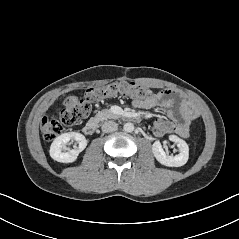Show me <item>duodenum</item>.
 I'll list each match as a JSON object with an SVG mask.
<instances>
[{"label":"duodenum","mask_w":239,"mask_h":239,"mask_svg":"<svg viewBox=\"0 0 239 239\" xmlns=\"http://www.w3.org/2000/svg\"><path fill=\"white\" fill-rule=\"evenodd\" d=\"M126 118L128 120L134 121V122H138L140 120V117L136 114H128L126 115ZM98 124L99 121L96 118H93L91 120H89L83 127V132L87 135H92L96 132V130L98 129Z\"/></svg>","instance_id":"duodenum-1"}]
</instances>
